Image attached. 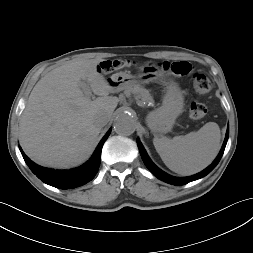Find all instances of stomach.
<instances>
[{"mask_svg": "<svg viewBox=\"0 0 253 253\" xmlns=\"http://www.w3.org/2000/svg\"><path fill=\"white\" fill-rule=\"evenodd\" d=\"M168 76L169 74L155 63L148 62L140 67V73L137 76L127 72H118L113 74L107 82L115 91H121L140 84L165 80L162 105L147 115L146 123L153 133H166L172 129L176 118L184 108L183 92L176 82L168 79Z\"/></svg>", "mask_w": 253, "mask_h": 253, "instance_id": "0dacf381", "label": "stomach"}]
</instances>
